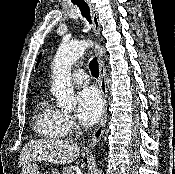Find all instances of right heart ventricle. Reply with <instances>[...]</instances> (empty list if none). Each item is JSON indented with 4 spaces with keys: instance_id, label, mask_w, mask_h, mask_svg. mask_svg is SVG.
<instances>
[{
    "instance_id": "right-heart-ventricle-1",
    "label": "right heart ventricle",
    "mask_w": 175,
    "mask_h": 174,
    "mask_svg": "<svg viewBox=\"0 0 175 174\" xmlns=\"http://www.w3.org/2000/svg\"><path fill=\"white\" fill-rule=\"evenodd\" d=\"M34 129L38 136L48 140L63 139L67 135L63 113L46 97L40 98L36 104Z\"/></svg>"
}]
</instances>
